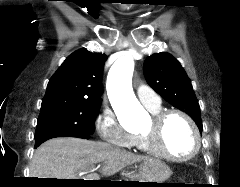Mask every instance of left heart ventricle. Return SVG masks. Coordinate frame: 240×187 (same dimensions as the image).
<instances>
[{
    "mask_svg": "<svg viewBox=\"0 0 240 187\" xmlns=\"http://www.w3.org/2000/svg\"><path fill=\"white\" fill-rule=\"evenodd\" d=\"M153 128L152 119L148 121L141 132H149ZM159 146L166 152L185 156L191 152L194 146V137L186 121L178 116H169L159 130Z\"/></svg>",
    "mask_w": 240,
    "mask_h": 187,
    "instance_id": "obj_1",
    "label": "left heart ventricle"
}]
</instances>
